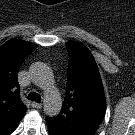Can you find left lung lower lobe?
<instances>
[{"instance_id":"obj_1","label":"left lung lower lobe","mask_w":135,"mask_h":135,"mask_svg":"<svg viewBox=\"0 0 135 135\" xmlns=\"http://www.w3.org/2000/svg\"><path fill=\"white\" fill-rule=\"evenodd\" d=\"M48 130H49L50 135H55L50 129Z\"/></svg>"}]
</instances>
